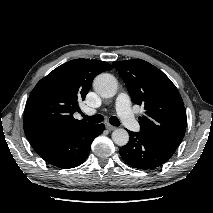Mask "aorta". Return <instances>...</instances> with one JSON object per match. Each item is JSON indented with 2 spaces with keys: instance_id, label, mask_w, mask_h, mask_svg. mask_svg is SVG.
<instances>
[{
  "instance_id": "obj_1",
  "label": "aorta",
  "mask_w": 213,
  "mask_h": 213,
  "mask_svg": "<svg viewBox=\"0 0 213 213\" xmlns=\"http://www.w3.org/2000/svg\"><path fill=\"white\" fill-rule=\"evenodd\" d=\"M94 90L103 98L113 97L118 88L117 80L108 73L99 74L93 82ZM112 140L118 146H124L129 141V134L125 129L118 128L112 132Z\"/></svg>"
}]
</instances>
